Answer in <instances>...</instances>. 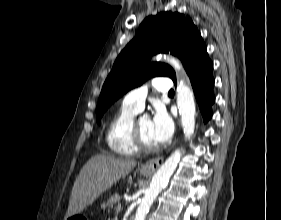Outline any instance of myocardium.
<instances>
[{
    "label": "myocardium",
    "instance_id": "f54148a6",
    "mask_svg": "<svg viewBox=\"0 0 281 220\" xmlns=\"http://www.w3.org/2000/svg\"><path fill=\"white\" fill-rule=\"evenodd\" d=\"M131 139H132L134 146L140 152L150 153V152H154V151L158 150V148H159L158 145L150 146V145H147L143 141L140 130H139V126H138V121H134L132 124Z\"/></svg>",
    "mask_w": 281,
    "mask_h": 220
}]
</instances>
